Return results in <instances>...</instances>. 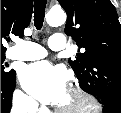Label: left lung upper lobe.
Here are the masks:
<instances>
[{
  "label": "left lung upper lobe",
  "mask_w": 121,
  "mask_h": 113,
  "mask_svg": "<svg viewBox=\"0 0 121 113\" xmlns=\"http://www.w3.org/2000/svg\"><path fill=\"white\" fill-rule=\"evenodd\" d=\"M65 33L85 52L69 60L81 88L104 106L121 109V25L110 0H58Z\"/></svg>",
  "instance_id": "5c2ea615"
}]
</instances>
